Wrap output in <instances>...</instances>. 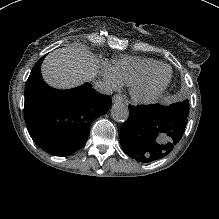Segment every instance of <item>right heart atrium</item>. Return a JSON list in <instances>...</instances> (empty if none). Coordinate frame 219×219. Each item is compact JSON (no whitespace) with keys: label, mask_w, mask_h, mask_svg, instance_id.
Listing matches in <instances>:
<instances>
[{"label":"right heart atrium","mask_w":219,"mask_h":219,"mask_svg":"<svg viewBox=\"0 0 219 219\" xmlns=\"http://www.w3.org/2000/svg\"><path fill=\"white\" fill-rule=\"evenodd\" d=\"M103 78L106 80V82L109 83V85L112 86V88L116 89L120 86V83L116 80L113 73L110 71L109 67L105 65L102 73Z\"/></svg>","instance_id":"1"}]
</instances>
